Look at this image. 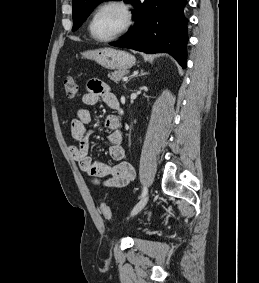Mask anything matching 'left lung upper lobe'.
Here are the masks:
<instances>
[{"label": "left lung upper lobe", "instance_id": "1", "mask_svg": "<svg viewBox=\"0 0 259 283\" xmlns=\"http://www.w3.org/2000/svg\"><path fill=\"white\" fill-rule=\"evenodd\" d=\"M105 0H72L73 7V28L72 30H77L81 24L90 15L91 11L96 5ZM133 4L134 0H124Z\"/></svg>", "mask_w": 259, "mask_h": 283}]
</instances>
